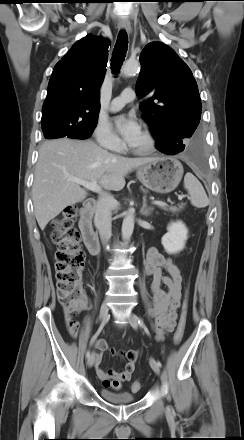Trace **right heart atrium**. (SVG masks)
Returning a JSON list of instances; mask_svg holds the SVG:
<instances>
[{
	"mask_svg": "<svg viewBox=\"0 0 244 440\" xmlns=\"http://www.w3.org/2000/svg\"><path fill=\"white\" fill-rule=\"evenodd\" d=\"M94 136L103 148L118 151L122 147L120 138L113 132L107 121L101 120L97 123Z\"/></svg>",
	"mask_w": 244,
	"mask_h": 440,
	"instance_id": "1",
	"label": "right heart atrium"
}]
</instances>
